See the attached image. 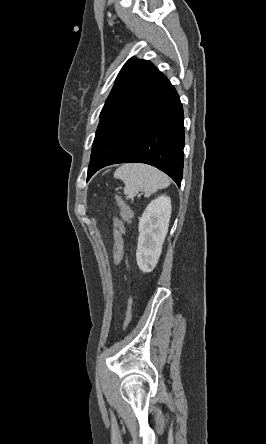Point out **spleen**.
Masks as SVG:
<instances>
[{"label": "spleen", "instance_id": "obj_1", "mask_svg": "<svg viewBox=\"0 0 266 444\" xmlns=\"http://www.w3.org/2000/svg\"><path fill=\"white\" fill-rule=\"evenodd\" d=\"M114 177L124 182V194L127 199H132L139 191L149 197L170 184L168 176L160 170L137 163L122 165L115 171Z\"/></svg>", "mask_w": 266, "mask_h": 444}]
</instances>
